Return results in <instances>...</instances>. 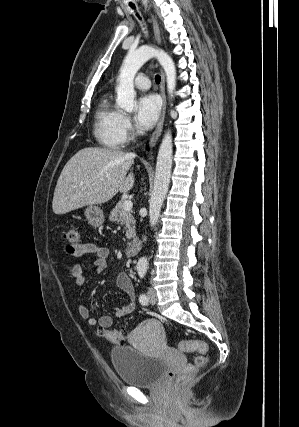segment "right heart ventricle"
<instances>
[{
	"instance_id": "e07e8e85",
	"label": "right heart ventricle",
	"mask_w": 299,
	"mask_h": 427,
	"mask_svg": "<svg viewBox=\"0 0 299 427\" xmlns=\"http://www.w3.org/2000/svg\"><path fill=\"white\" fill-rule=\"evenodd\" d=\"M121 117L122 113L112 104L109 94L103 95L95 112L94 135L104 148L117 150L122 147Z\"/></svg>"
}]
</instances>
